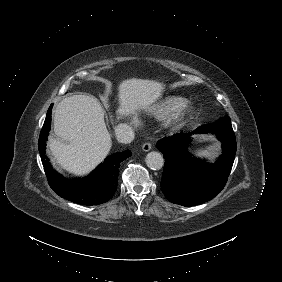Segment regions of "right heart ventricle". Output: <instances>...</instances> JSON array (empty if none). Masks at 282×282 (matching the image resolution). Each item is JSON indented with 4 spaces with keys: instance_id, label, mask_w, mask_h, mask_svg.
I'll use <instances>...</instances> for the list:
<instances>
[{
    "instance_id": "1",
    "label": "right heart ventricle",
    "mask_w": 282,
    "mask_h": 282,
    "mask_svg": "<svg viewBox=\"0 0 282 282\" xmlns=\"http://www.w3.org/2000/svg\"><path fill=\"white\" fill-rule=\"evenodd\" d=\"M179 101H170L168 103L167 109H175L176 107L179 106Z\"/></svg>"
}]
</instances>
